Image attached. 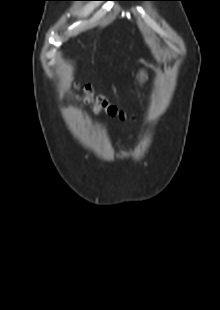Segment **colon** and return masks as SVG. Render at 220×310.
<instances>
[{"mask_svg":"<svg viewBox=\"0 0 220 310\" xmlns=\"http://www.w3.org/2000/svg\"><path fill=\"white\" fill-rule=\"evenodd\" d=\"M76 89L79 99L91 106L96 112L104 113L110 117L122 118L123 114L103 96L94 93L92 87L87 84H77Z\"/></svg>","mask_w":220,"mask_h":310,"instance_id":"5ec220e1","label":"colon"}]
</instances>
